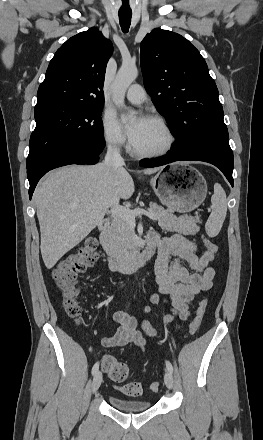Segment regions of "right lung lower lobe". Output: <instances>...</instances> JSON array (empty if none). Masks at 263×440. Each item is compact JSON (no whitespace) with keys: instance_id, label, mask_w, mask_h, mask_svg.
<instances>
[{"instance_id":"98d812e1","label":"right lung lower lobe","mask_w":263,"mask_h":440,"mask_svg":"<svg viewBox=\"0 0 263 440\" xmlns=\"http://www.w3.org/2000/svg\"><path fill=\"white\" fill-rule=\"evenodd\" d=\"M104 146V140L101 142H78L71 146H62L52 150L41 160L27 167L30 199L38 181L49 170L70 164H95L98 162L99 154Z\"/></svg>"}]
</instances>
